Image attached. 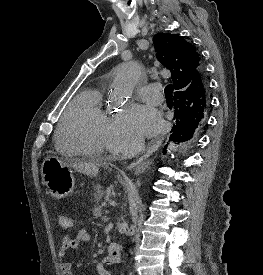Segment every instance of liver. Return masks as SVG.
Returning a JSON list of instances; mask_svg holds the SVG:
<instances>
[{
    "label": "liver",
    "instance_id": "6515ba94",
    "mask_svg": "<svg viewBox=\"0 0 263 275\" xmlns=\"http://www.w3.org/2000/svg\"><path fill=\"white\" fill-rule=\"evenodd\" d=\"M69 166L76 169L78 172L86 174L88 176H96L99 172V164L97 162H74L66 163Z\"/></svg>",
    "mask_w": 263,
    "mask_h": 275
}]
</instances>
